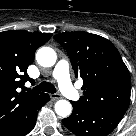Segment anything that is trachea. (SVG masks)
<instances>
[{
    "instance_id": "1",
    "label": "trachea",
    "mask_w": 136,
    "mask_h": 136,
    "mask_svg": "<svg viewBox=\"0 0 136 136\" xmlns=\"http://www.w3.org/2000/svg\"><path fill=\"white\" fill-rule=\"evenodd\" d=\"M34 89L38 90V91L48 92V93H55L56 92L55 86L49 82H42L41 84L36 86Z\"/></svg>"
}]
</instances>
